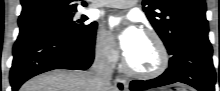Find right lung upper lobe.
<instances>
[{
    "mask_svg": "<svg viewBox=\"0 0 220 91\" xmlns=\"http://www.w3.org/2000/svg\"><path fill=\"white\" fill-rule=\"evenodd\" d=\"M22 12L18 24L22 25L39 18L76 10L75 0H22ZM85 6L86 3L83 2Z\"/></svg>",
    "mask_w": 220,
    "mask_h": 91,
    "instance_id": "cb5924a9",
    "label": "right lung upper lobe"
}]
</instances>
